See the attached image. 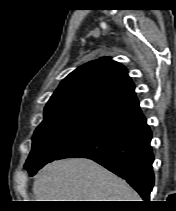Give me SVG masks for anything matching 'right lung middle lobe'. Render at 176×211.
<instances>
[{
    "instance_id": "dd1d6c3e",
    "label": "right lung middle lobe",
    "mask_w": 176,
    "mask_h": 211,
    "mask_svg": "<svg viewBox=\"0 0 176 211\" xmlns=\"http://www.w3.org/2000/svg\"><path fill=\"white\" fill-rule=\"evenodd\" d=\"M98 123L66 115H44L34 133L32 150L24 168L30 173L44 166L57 152Z\"/></svg>"
}]
</instances>
